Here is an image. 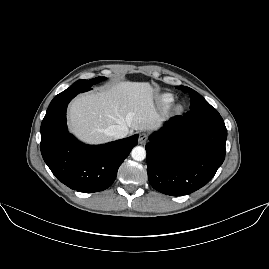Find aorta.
Segmentation results:
<instances>
[{
	"label": "aorta",
	"mask_w": 269,
	"mask_h": 269,
	"mask_svg": "<svg viewBox=\"0 0 269 269\" xmlns=\"http://www.w3.org/2000/svg\"><path fill=\"white\" fill-rule=\"evenodd\" d=\"M131 156L136 161H142L146 157V151L142 146H136L132 149Z\"/></svg>",
	"instance_id": "aorta-1"
}]
</instances>
